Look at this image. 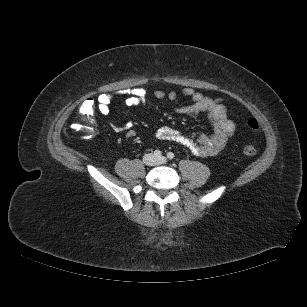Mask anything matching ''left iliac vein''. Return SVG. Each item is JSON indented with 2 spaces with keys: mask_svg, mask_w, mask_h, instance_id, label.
Instances as JSON below:
<instances>
[{
  "mask_svg": "<svg viewBox=\"0 0 307 307\" xmlns=\"http://www.w3.org/2000/svg\"><path fill=\"white\" fill-rule=\"evenodd\" d=\"M166 162H167V158L164 157V156H161L160 158H157V159H156V163H157V164H164V163H166Z\"/></svg>",
  "mask_w": 307,
  "mask_h": 307,
  "instance_id": "obj_1",
  "label": "left iliac vein"
}]
</instances>
